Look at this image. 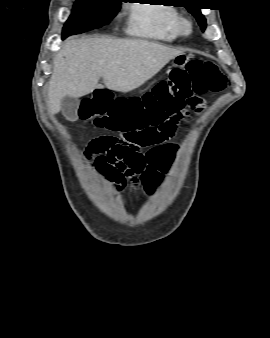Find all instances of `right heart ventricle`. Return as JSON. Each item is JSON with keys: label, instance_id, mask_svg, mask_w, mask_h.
I'll list each match as a JSON object with an SVG mask.
<instances>
[{"label": "right heart ventricle", "instance_id": "1", "mask_svg": "<svg viewBox=\"0 0 270 338\" xmlns=\"http://www.w3.org/2000/svg\"><path fill=\"white\" fill-rule=\"evenodd\" d=\"M167 5L159 0L150 4H135L130 21L131 33L158 41H172L177 38L176 28L181 15L174 6Z\"/></svg>", "mask_w": 270, "mask_h": 338}]
</instances>
